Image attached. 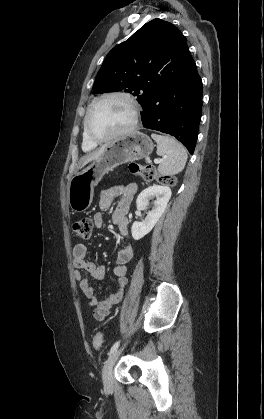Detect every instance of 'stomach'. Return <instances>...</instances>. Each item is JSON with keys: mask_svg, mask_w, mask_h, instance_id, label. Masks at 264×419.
<instances>
[{"mask_svg": "<svg viewBox=\"0 0 264 419\" xmlns=\"http://www.w3.org/2000/svg\"><path fill=\"white\" fill-rule=\"evenodd\" d=\"M153 148L151 139L138 131L109 142L98 158L70 180L67 195L71 210L83 212L88 209L94 187L106 173L121 164L148 157Z\"/></svg>", "mask_w": 264, "mask_h": 419, "instance_id": "stomach-1", "label": "stomach"}]
</instances>
